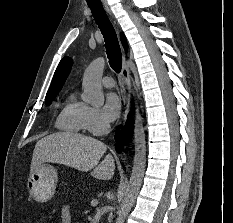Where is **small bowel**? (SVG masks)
Wrapping results in <instances>:
<instances>
[{
    "instance_id": "small-bowel-1",
    "label": "small bowel",
    "mask_w": 233,
    "mask_h": 223,
    "mask_svg": "<svg viewBox=\"0 0 233 223\" xmlns=\"http://www.w3.org/2000/svg\"><path fill=\"white\" fill-rule=\"evenodd\" d=\"M61 223H71V212L67 206L62 209Z\"/></svg>"
}]
</instances>
